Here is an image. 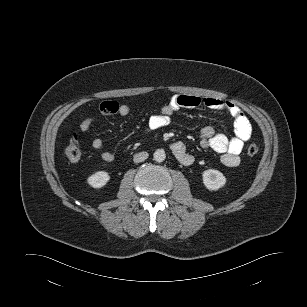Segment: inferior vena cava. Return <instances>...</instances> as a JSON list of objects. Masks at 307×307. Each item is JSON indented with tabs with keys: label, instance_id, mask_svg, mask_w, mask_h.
I'll list each match as a JSON object with an SVG mask.
<instances>
[{
	"label": "inferior vena cava",
	"instance_id": "obj_1",
	"mask_svg": "<svg viewBox=\"0 0 307 307\" xmlns=\"http://www.w3.org/2000/svg\"><path fill=\"white\" fill-rule=\"evenodd\" d=\"M148 153L147 152H140L134 155L133 161L135 163H140L143 162L144 160H146L148 158Z\"/></svg>",
	"mask_w": 307,
	"mask_h": 307
}]
</instances>
